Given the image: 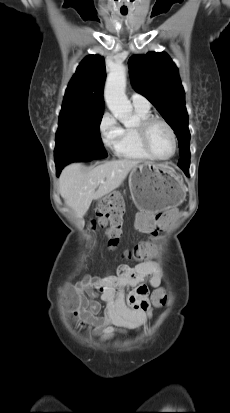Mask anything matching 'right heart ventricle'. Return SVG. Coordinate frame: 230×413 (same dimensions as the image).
<instances>
[{
  "label": "right heart ventricle",
  "mask_w": 230,
  "mask_h": 413,
  "mask_svg": "<svg viewBox=\"0 0 230 413\" xmlns=\"http://www.w3.org/2000/svg\"><path fill=\"white\" fill-rule=\"evenodd\" d=\"M135 114L138 120L142 121L149 117V110L135 108ZM114 151L117 157L126 160L147 161L151 159L141 146L137 126L121 128V135Z\"/></svg>",
  "instance_id": "obj_1"
}]
</instances>
